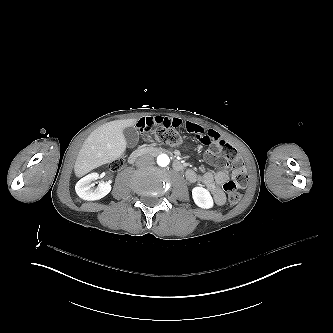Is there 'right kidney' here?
<instances>
[{
    "mask_svg": "<svg viewBox=\"0 0 333 333\" xmlns=\"http://www.w3.org/2000/svg\"><path fill=\"white\" fill-rule=\"evenodd\" d=\"M99 178L100 174L93 172L80 179L75 186L76 194L86 201L100 200L107 196L112 190V186L109 183H99L96 189L90 186L93 180Z\"/></svg>",
    "mask_w": 333,
    "mask_h": 333,
    "instance_id": "ca27d5eb",
    "label": "right kidney"
}]
</instances>
